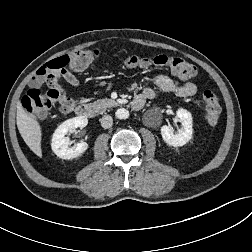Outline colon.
Instances as JSON below:
<instances>
[{"instance_id":"1","label":"colon","mask_w":252,"mask_h":252,"mask_svg":"<svg viewBox=\"0 0 252 252\" xmlns=\"http://www.w3.org/2000/svg\"><path fill=\"white\" fill-rule=\"evenodd\" d=\"M101 56L99 50H78L70 55H63L52 59L40 67L27 93L22 98V107L32 117L38 118L46 115L55 104H64L67 97L58 79L61 73L70 67L76 71L88 68ZM125 65L129 68L147 69L149 67H165L174 75L183 80L192 79L197 75L196 67L187 60L168 55H158L153 58L129 56L125 59ZM48 86L46 92L42 86ZM205 105V119L210 126L219 121L221 105L219 97L211 90H205L202 94Z\"/></svg>"}]
</instances>
